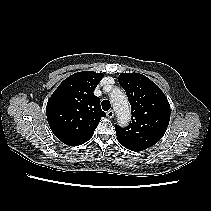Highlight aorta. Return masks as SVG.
I'll return each instance as SVG.
<instances>
[{"label":"aorta","mask_w":211,"mask_h":211,"mask_svg":"<svg viewBox=\"0 0 211 211\" xmlns=\"http://www.w3.org/2000/svg\"><path fill=\"white\" fill-rule=\"evenodd\" d=\"M111 102L119 123L126 124L129 121L131 114L127 96L120 89H115L111 94Z\"/></svg>","instance_id":"762f6f07"}]
</instances>
